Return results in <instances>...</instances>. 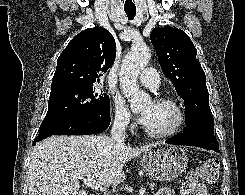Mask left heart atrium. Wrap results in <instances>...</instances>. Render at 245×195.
<instances>
[{"instance_id":"39dd6f15","label":"left heart atrium","mask_w":245,"mask_h":195,"mask_svg":"<svg viewBox=\"0 0 245 195\" xmlns=\"http://www.w3.org/2000/svg\"><path fill=\"white\" fill-rule=\"evenodd\" d=\"M149 114H150V110H146L144 112H141V114L139 115V121L144 125L148 118H149Z\"/></svg>"}]
</instances>
